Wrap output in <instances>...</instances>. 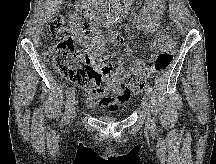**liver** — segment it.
<instances>
[{
	"label": "liver",
	"instance_id": "obj_1",
	"mask_svg": "<svg viewBox=\"0 0 216 164\" xmlns=\"http://www.w3.org/2000/svg\"><path fill=\"white\" fill-rule=\"evenodd\" d=\"M63 0H47V14L53 15L58 10Z\"/></svg>",
	"mask_w": 216,
	"mask_h": 164
}]
</instances>
